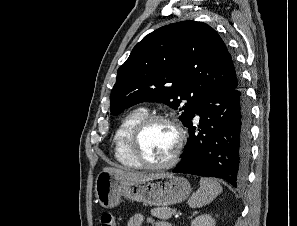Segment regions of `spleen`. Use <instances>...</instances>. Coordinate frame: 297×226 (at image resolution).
<instances>
[{"mask_svg": "<svg viewBox=\"0 0 297 226\" xmlns=\"http://www.w3.org/2000/svg\"><path fill=\"white\" fill-rule=\"evenodd\" d=\"M222 186L212 178H201L200 188L189 198L191 208H200L213 201L222 192Z\"/></svg>", "mask_w": 297, "mask_h": 226, "instance_id": "spleen-1", "label": "spleen"}]
</instances>
